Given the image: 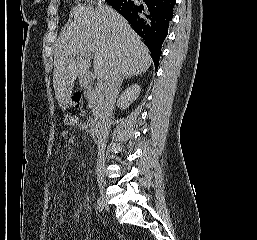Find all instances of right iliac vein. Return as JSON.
I'll return each instance as SVG.
<instances>
[{
    "label": "right iliac vein",
    "instance_id": "right-iliac-vein-1",
    "mask_svg": "<svg viewBox=\"0 0 257 240\" xmlns=\"http://www.w3.org/2000/svg\"><path fill=\"white\" fill-rule=\"evenodd\" d=\"M100 192H101V199H102L101 201L103 203V206L105 207L106 210H109V206H108V204L106 202V199L104 197L103 186H100Z\"/></svg>",
    "mask_w": 257,
    "mask_h": 240
}]
</instances>
